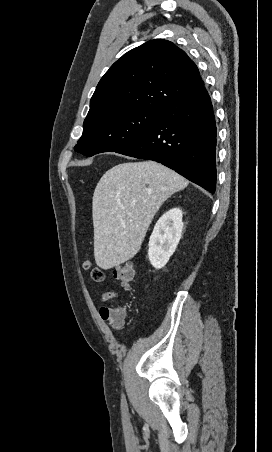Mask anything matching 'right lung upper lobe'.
Here are the masks:
<instances>
[{"label": "right lung upper lobe", "mask_w": 272, "mask_h": 452, "mask_svg": "<svg viewBox=\"0 0 272 452\" xmlns=\"http://www.w3.org/2000/svg\"><path fill=\"white\" fill-rule=\"evenodd\" d=\"M204 86L196 64L172 42L156 39L117 60L98 83L85 121L128 109L168 111Z\"/></svg>", "instance_id": "right-lung-upper-lobe-1"}]
</instances>
